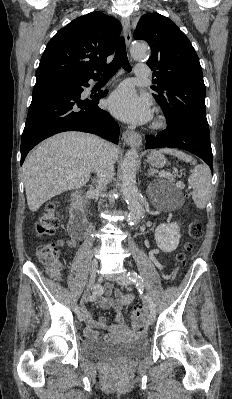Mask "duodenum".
<instances>
[{
  "mask_svg": "<svg viewBox=\"0 0 232 399\" xmlns=\"http://www.w3.org/2000/svg\"><path fill=\"white\" fill-rule=\"evenodd\" d=\"M90 223L84 213L83 197L80 192H76L72 196L70 205V220L68 224V232L74 239H82L89 231Z\"/></svg>",
  "mask_w": 232,
  "mask_h": 399,
  "instance_id": "duodenum-1",
  "label": "duodenum"
}]
</instances>
